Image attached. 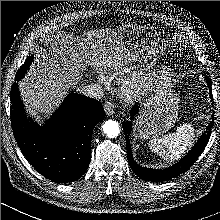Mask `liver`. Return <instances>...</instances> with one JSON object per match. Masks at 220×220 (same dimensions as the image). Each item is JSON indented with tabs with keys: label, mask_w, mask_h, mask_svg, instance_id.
Here are the masks:
<instances>
[{
	"label": "liver",
	"mask_w": 220,
	"mask_h": 220,
	"mask_svg": "<svg viewBox=\"0 0 220 220\" xmlns=\"http://www.w3.org/2000/svg\"><path fill=\"white\" fill-rule=\"evenodd\" d=\"M129 53L120 32L111 29L90 31L82 36L68 35L51 54L38 55L19 82L21 96L30 114H50L66 92L80 83L87 65L102 71L113 60H121ZM80 78V79H79Z\"/></svg>",
	"instance_id": "liver-1"
}]
</instances>
